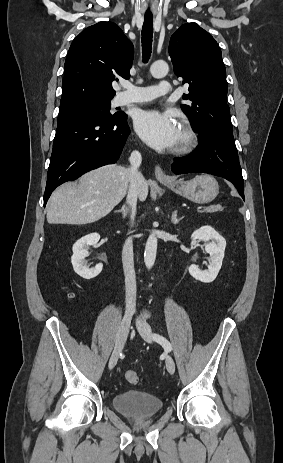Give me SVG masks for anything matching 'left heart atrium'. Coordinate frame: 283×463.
<instances>
[{
	"instance_id": "1",
	"label": "left heart atrium",
	"mask_w": 283,
	"mask_h": 463,
	"mask_svg": "<svg viewBox=\"0 0 283 463\" xmlns=\"http://www.w3.org/2000/svg\"><path fill=\"white\" fill-rule=\"evenodd\" d=\"M134 127L139 137L155 149H170L177 142L178 125L168 113L155 109L139 111Z\"/></svg>"
}]
</instances>
